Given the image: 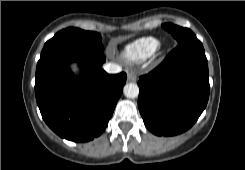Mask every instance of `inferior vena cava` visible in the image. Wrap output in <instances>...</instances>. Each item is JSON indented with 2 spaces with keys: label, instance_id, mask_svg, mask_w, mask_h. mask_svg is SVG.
Here are the masks:
<instances>
[{
  "label": "inferior vena cava",
  "instance_id": "inferior-vena-cava-1",
  "mask_svg": "<svg viewBox=\"0 0 245 170\" xmlns=\"http://www.w3.org/2000/svg\"><path fill=\"white\" fill-rule=\"evenodd\" d=\"M104 70L107 73L116 74V73L121 72V67L117 64H114V63H108V64L104 65Z\"/></svg>",
  "mask_w": 245,
  "mask_h": 170
}]
</instances>
